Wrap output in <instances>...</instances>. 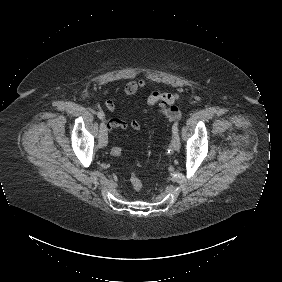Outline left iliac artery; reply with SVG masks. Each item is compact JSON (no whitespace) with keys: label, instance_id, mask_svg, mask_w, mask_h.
<instances>
[{"label":"left iliac artery","instance_id":"obj_1","mask_svg":"<svg viewBox=\"0 0 282 282\" xmlns=\"http://www.w3.org/2000/svg\"><path fill=\"white\" fill-rule=\"evenodd\" d=\"M178 126H179V122L176 121V122L173 124V127H172L173 135H177V134H178Z\"/></svg>","mask_w":282,"mask_h":282}]
</instances>
